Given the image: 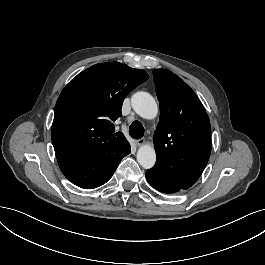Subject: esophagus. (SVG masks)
I'll use <instances>...</instances> for the list:
<instances>
[{"label": "esophagus", "instance_id": "1", "mask_svg": "<svg viewBox=\"0 0 265 265\" xmlns=\"http://www.w3.org/2000/svg\"><path fill=\"white\" fill-rule=\"evenodd\" d=\"M145 143V139H138V140H136L135 141V144L137 145V146H140V145H142V144H144Z\"/></svg>", "mask_w": 265, "mask_h": 265}]
</instances>
